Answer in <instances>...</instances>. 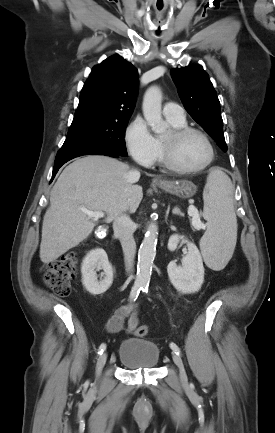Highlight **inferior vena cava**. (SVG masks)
<instances>
[{"mask_svg":"<svg viewBox=\"0 0 275 433\" xmlns=\"http://www.w3.org/2000/svg\"><path fill=\"white\" fill-rule=\"evenodd\" d=\"M132 176L134 180H138L140 173L138 171H133ZM113 230L115 236L120 239L122 245L126 271L131 273L133 271L136 253V243L133 237L135 225L127 214L122 213L114 219Z\"/></svg>","mask_w":275,"mask_h":433,"instance_id":"602c4592","label":"inferior vena cava"}]
</instances>
